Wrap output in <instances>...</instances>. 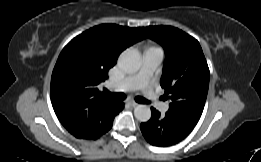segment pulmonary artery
<instances>
[{
    "label": "pulmonary artery",
    "mask_w": 261,
    "mask_h": 162,
    "mask_svg": "<svg viewBox=\"0 0 261 162\" xmlns=\"http://www.w3.org/2000/svg\"><path fill=\"white\" fill-rule=\"evenodd\" d=\"M163 59V52L160 48L151 47L146 49L142 55L141 67L137 73L124 78L121 82L113 84L118 92H129L141 89L144 96L151 101L154 107L160 112L168 110V103L163 102L151 89L150 81L157 67Z\"/></svg>",
    "instance_id": "1"
}]
</instances>
